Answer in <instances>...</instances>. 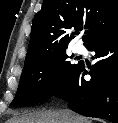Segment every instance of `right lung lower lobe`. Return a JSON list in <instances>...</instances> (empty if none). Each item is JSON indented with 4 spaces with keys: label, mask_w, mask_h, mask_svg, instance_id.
Masks as SVG:
<instances>
[{
    "label": "right lung lower lobe",
    "mask_w": 118,
    "mask_h": 123,
    "mask_svg": "<svg viewBox=\"0 0 118 123\" xmlns=\"http://www.w3.org/2000/svg\"><path fill=\"white\" fill-rule=\"evenodd\" d=\"M98 61L90 72L81 63L71 79L53 96L68 102L70 108L84 116L118 123V33L88 48ZM91 76L90 81L84 75Z\"/></svg>",
    "instance_id": "98d812e1"
}]
</instances>
